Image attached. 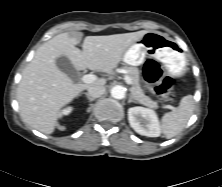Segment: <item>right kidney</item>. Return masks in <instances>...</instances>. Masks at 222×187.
<instances>
[{"mask_svg":"<svg viewBox=\"0 0 222 187\" xmlns=\"http://www.w3.org/2000/svg\"><path fill=\"white\" fill-rule=\"evenodd\" d=\"M72 111V108H67V109H64L63 111H62V114L63 115H68L70 112Z\"/></svg>","mask_w":222,"mask_h":187,"instance_id":"1","label":"right kidney"}]
</instances>
